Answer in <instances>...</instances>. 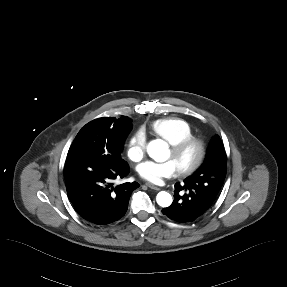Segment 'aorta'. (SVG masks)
Segmentation results:
<instances>
[{"label": "aorta", "instance_id": "aorta-1", "mask_svg": "<svg viewBox=\"0 0 287 287\" xmlns=\"http://www.w3.org/2000/svg\"><path fill=\"white\" fill-rule=\"evenodd\" d=\"M167 151L168 144L161 139L152 140L147 145L148 155L157 162H162L167 159ZM156 201L161 207H169L173 199L168 192L161 191L157 194Z\"/></svg>", "mask_w": 287, "mask_h": 287}]
</instances>
